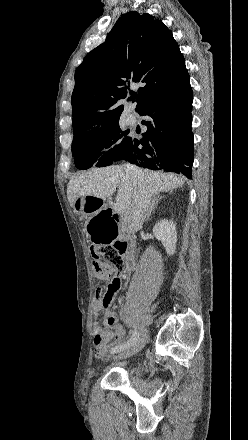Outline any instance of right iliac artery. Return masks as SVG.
Masks as SVG:
<instances>
[{
    "mask_svg": "<svg viewBox=\"0 0 248 440\" xmlns=\"http://www.w3.org/2000/svg\"><path fill=\"white\" fill-rule=\"evenodd\" d=\"M138 336H139V334H138L137 330L135 329L133 331L131 338L125 344H122V345H119V346L112 348L111 353H117V352H120V351H123V350L129 348L133 343L136 342Z\"/></svg>",
    "mask_w": 248,
    "mask_h": 440,
    "instance_id": "82829eb1",
    "label": "right iliac artery"
}]
</instances>
